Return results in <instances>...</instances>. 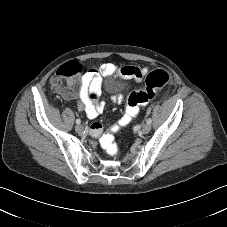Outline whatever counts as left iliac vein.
<instances>
[{
	"label": "left iliac vein",
	"mask_w": 227,
	"mask_h": 227,
	"mask_svg": "<svg viewBox=\"0 0 227 227\" xmlns=\"http://www.w3.org/2000/svg\"><path fill=\"white\" fill-rule=\"evenodd\" d=\"M151 130V125L150 124H145L142 127V133L147 134Z\"/></svg>",
	"instance_id": "4c4485c4"
}]
</instances>
